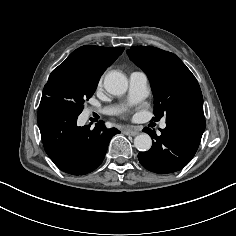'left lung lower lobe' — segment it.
Wrapping results in <instances>:
<instances>
[{"label": "left lung lower lobe", "mask_w": 236, "mask_h": 236, "mask_svg": "<svg viewBox=\"0 0 236 236\" xmlns=\"http://www.w3.org/2000/svg\"><path fill=\"white\" fill-rule=\"evenodd\" d=\"M206 127L203 109L187 108L166 119L161 135L147 127L143 129L152 140L147 152L138 159L143 167L155 173H172L183 169L194 157Z\"/></svg>", "instance_id": "0a47b994"}]
</instances>
